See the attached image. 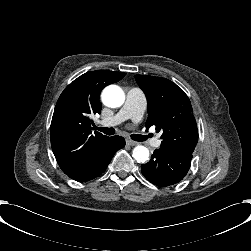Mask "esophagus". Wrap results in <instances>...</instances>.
I'll return each mask as SVG.
<instances>
[{
	"instance_id": "obj_1",
	"label": "esophagus",
	"mask_w": 251,
	"mask_h": 251,
	"mask_svg": "<svg viewBox=\"0 0 251 251\" xmlns=\"http://www.w3.org/2000/svg\"><path fill=\"white\" fill-rule=\"evenodd\" d=\"M127 144H128L129 146H137L139 143L136 142V141H132V140L127 139Z\"/></svg>"
}]
</instances>
